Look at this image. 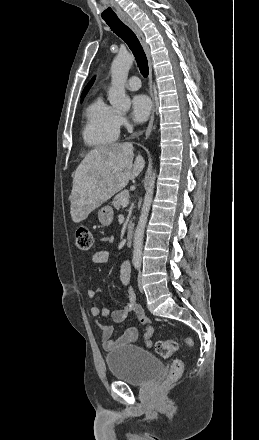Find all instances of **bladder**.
<instances>
[{"label": "bladder", "instance_id": "obj_1", "mask_svg": "<svg viewBox=\"0 0 259 440\" xmlns=\"http://www.w3.org/2000/svg\"><path fill=\"white\" fill-rule=\"evenodd\" d=\"M106 362L114 379L132 385H145L164 371V363L152 353L135 345L113 349Z\"/></svg>", "mask_w": 259, "mask_h": 440}]
</instances>
